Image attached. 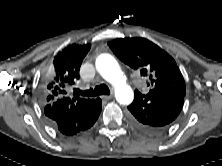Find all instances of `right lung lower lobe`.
<instances>
[{
    "label": "right lung lower lobe",
    "instance_id": "right-lung-lower-lobe-1",
    "mask_svg": "<svg viewBox=\"0 0 222 166\" xmlns=\"http://www.w3.org/2000/svg\"><path fill=\"white\" fill-rule=\"evenodd\" d=\"M87 108L80 109L79 105L68 97H53L48 95L44 113L49 124L64 135H74L90 128L101 112V99L95 98Z\"/></svg>",
    "mask_w": 222,
    "mask_h": 166
}]
</instances>
